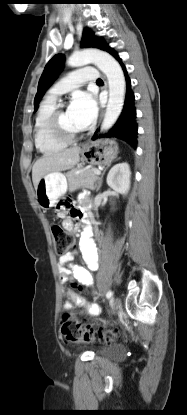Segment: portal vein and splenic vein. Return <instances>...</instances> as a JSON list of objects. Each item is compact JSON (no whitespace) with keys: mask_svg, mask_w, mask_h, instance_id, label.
Listing matches in <instances>:
<instances>
[{"mask_svg":"<svg viewBox=\"0 0 187 415\" xmlns=\"http://www.w3.org/2000/svg\"><path fill=\"white\" fill-rule=\"evenodd\" d=\"M93 172H94L95 174H97V175H100V174H101V172H100L98 169L93 170Z\"/></svg>","mask_w":187,"mask_h":415,"instance_id":"obj_1","label":"portal vein and splenic vein"}]
</instances>
